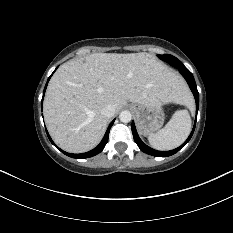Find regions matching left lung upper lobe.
<instances>
[{
  "instance_id": "1",
  "label": "left lung upper lobe",
  "mask_w": 233,
  "mask_h": 233,
  "mask_svg": "<svg viewBox=\"0 0 233 233\" xmlns=\"http://www.w3.org/2000/svg\"><path fill=\"white\" fill-rule=\"evenodd\" d=\"M158 57L160 59H162L163 61L171 64L172 66H174L175 63H179L180 62L176 57H174L172 55H169V54L158 55Z\"/></svg>"
}]
</instances>
